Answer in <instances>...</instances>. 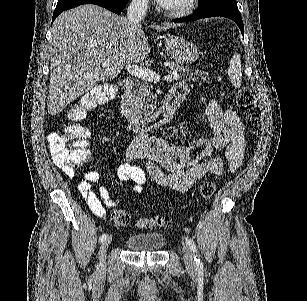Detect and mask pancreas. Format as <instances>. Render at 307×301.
Listing matches in <instances>:
<instances>
[{"mask_svg":"<svg viewBox=\"0 0 307 301\" xmlns=\"http://www.w3.org/2000/svg\"><path fill=\"white\" fill-rule=\"evenodd\" d=\"M163 66H168L170 68L169 72L173 76V72H178L179 76L176 80L180 78H187V80H197L198 72H191L189 68H185L182 64H175V62H165ZM189 74V76H187ZM152 84L148 80L144 82H137L133 90L132 104L135 106L136 112H140L143 116H148L152 114L156 108V96L152 92Z\"/></svg>","mask_w":307,"mask_h":301,"instance_id":"obj_1","label":"pancreas"}]
</instances>
